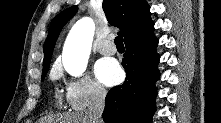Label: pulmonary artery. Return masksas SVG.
<instances>
[{"label": "pulmonary artery", "instance_id": "1", "mask_svg": "<svg viewBox=\"0 0 221 123\" xmlns=\"http://www.w3.org/2000/svg\"><path fill=\"white\" fill-rule=\"evenodd\" d=\"M98 51L104 55H112L116 52V47L113 44L111 38H107L101 41L97 47Z\"/></svg>", "mask_w": 221, "mask_h": 123}]
</instances>
